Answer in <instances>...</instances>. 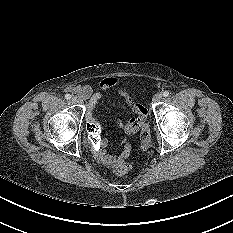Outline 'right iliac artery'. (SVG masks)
Masks as SVG:
<instances>
[{
  "instance_id": "right-iliac-artery-1",
  "label": "right iliac artery",
  "mask_w": 233,
  "mask_h": 233,
  "mask_svg": "<svg viewBox=\"0 0 233 233\" xmlns=\"http://www.w3.org/2000/svg\"><path fill=\"white\" fill-rule=\"evenodd\" d=\"M65 98H66L67 100H69V99H71V95H70V94H66V95H65Z\"/></svg>"
}]
</instances>
